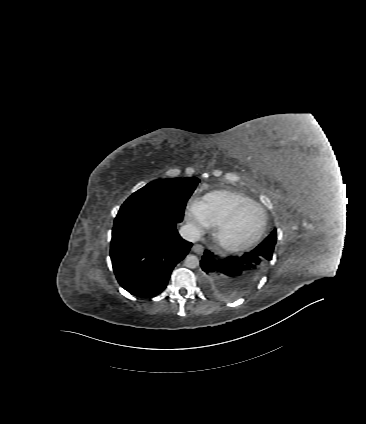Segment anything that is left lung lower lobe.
Here are the masks:
<instances>
[{
	"mask_svg": "<svg viewBox=\"0 0 366 424\" xmlns=\"http://www.w3.org/2000/svg\"><path fill=\"white\" fill-rule=\"evenodd\" d=\"M262 256L255 253L254 250L243 254L240 258L229 256L226 259H219L213 252L206 250L200 261L203 270L204 283L208 289L214 293L229 292L228 277L241 275L243 270L257 271L262 263ZM218 276V279L216 278Z\"/></svg>",
	"mask_w": 366,
	"mask_h": 424,
	"instance_id": "0a47b994",
	"label": "left lung lower lobe"
}]
</instances>
